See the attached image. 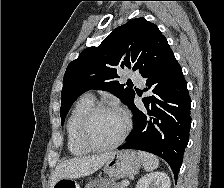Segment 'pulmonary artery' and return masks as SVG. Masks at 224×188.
Here are the masks:
<instances>
[{
  "label": "pulmonary artery",
  "instance_id": "e3ab8cb5",
  "mask_svg": "<svg viewBox=\"0 0 224 188\" xmlns=\"http://www.w3.org/2000/svg\"><path fill=\"white\" fill-rule=\"evenodd\" d=\"M130 77H131L133 80L137 81V83H138L140 86L142 85V81H141V79H140V77H139V75H138L137 73L132 72V73L130 74Z\"/></svg>",
  "mask_w": 224,
  "mask_h": 188
}]
</instances>
